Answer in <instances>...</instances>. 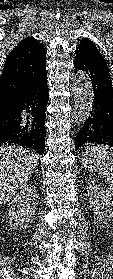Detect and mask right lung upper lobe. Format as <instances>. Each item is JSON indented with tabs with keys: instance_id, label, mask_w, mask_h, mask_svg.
<instances>
[{
	"instance_id": "1",
	"label": "right lung upper lobe",
	"mask_w": 113,
	"mask_h": 279,
	"mask_svg": "<svg viewBox=\"0 0 113 279\" xmlns=\"http://www.w3.org/2000/svg\"><path fill=\"white\" fill-rule=\"evenodd\" d=\"M46 50L33 37L19 42L6 58L0 78V111L9 108L36 78L46 72Z\"/></svg>"
}]
</instances>
